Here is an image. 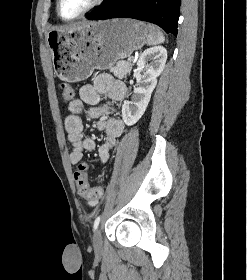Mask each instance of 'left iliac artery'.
Instances as JSON below:
<instances>
[{"mask_svg":"<svg viewBox=\"0 0 247 280\" xmlns=\"http://www.w3.org/2000/svg\"><path fill=\"white\" fill-rule=\"evenodd\" d=\"M100 219H101V217H100V216H98V217L95 219V221H94V225H93L94 230H96V229H97V227H98V225H99V223H100Z\"/></svg>","mask_w":247,"mask_h":280,"instance_id":"44dca946","label":"left iliac artery"}]
</instances>
